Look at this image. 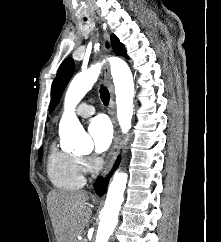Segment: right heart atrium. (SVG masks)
<instances>
[{"label":"right heart atrium","mask_w":221,"mask_h":242,"mask_svg":"<svg viewBox=\"0 0 221 242\" xmlns=\"http://www.w3.org/2000/svg\"><path fill=\"white\" fill-rule=\"evenodd\" d=\"M80 166L83 173H91L98 169L99 161L92 156L80 157L79 158Z\"/></svg>","instance_id":"1"}]
</instances>
